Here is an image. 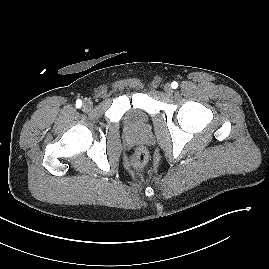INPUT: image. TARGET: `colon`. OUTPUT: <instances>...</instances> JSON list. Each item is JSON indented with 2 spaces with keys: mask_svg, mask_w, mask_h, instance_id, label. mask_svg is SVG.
Instances as JSON below:
<instances>
[{
  "mask_svg": "<svg viewBox=\"0 0 269 269\" xmlns=\"http://www.w3.org/2000/svg\"><path fill=\"white\" fill-rule=\"evenodd\" d=\"M148 160V154L143 148L135 150L130 156V163L135 168L143 167Z\"/></svg>",
  "mask_w": 269,
  "mask_h": 269,
  "instance_id": "colon-1",
  "label": "colon"
}]
</instances>
